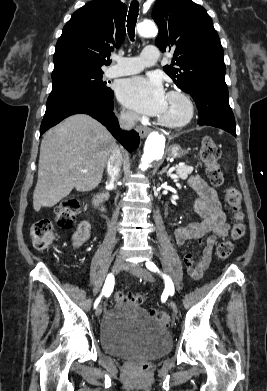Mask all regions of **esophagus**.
I'll return each instance as SVG.
<instances>
[{"instance_id":"1","label":"esophagus","mask_w":267,"mask_h":391,"mask_svg":"<svg viewBox=\"0 0 267 391\" xmlns=\"http://www.w3.org/2000/svg\"><path fill=\"white\" fill-rule=\"evenodd\" d=\"M140 137L144 138L150 132V128L140 126L138 128Z\"/></svg>"}]
</instances>
